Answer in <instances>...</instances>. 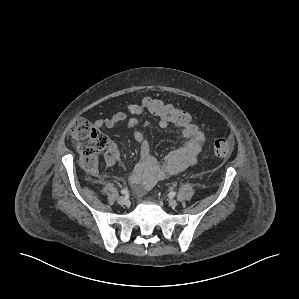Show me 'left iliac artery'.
<instances>
[{
	"label": "left iliac artery",
	"mask_w": 299,
	"mask_h": 299,
	"mask_svg": "<svg viewBox=\"0 0 299 299\" xmlns=\"http://www.w3.org/2000/svg\"><path fill=\"white\" fill-rule=\"evenodd\" d=\"M170 197H174L176 195V193L174 191L170 192Z\"/></svg>",
	"instance_id": "obj_1"
}]
</instances>
